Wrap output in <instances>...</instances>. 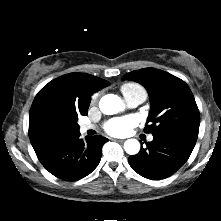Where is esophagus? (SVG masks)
Here are the masks:
<instances>
[{
  "instance_id": "obj_1",
  "label": "esophagus",
  "mask_w": 221,
  "mask_h": 221,
  "mask_svg": "<svg viewBox=\"0 0 221 221\" xmlns=\"http://www.w3.org/2000/svg\"><path fill=\"white\" fill-rule=\"evenodd\" d=\"M114 141H117V142H124V140L123 139H114Z\"/></svg>"
}]
</instances>
